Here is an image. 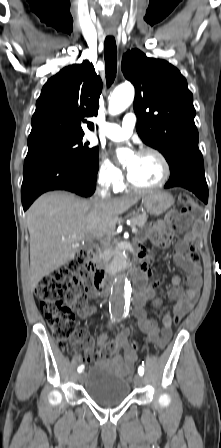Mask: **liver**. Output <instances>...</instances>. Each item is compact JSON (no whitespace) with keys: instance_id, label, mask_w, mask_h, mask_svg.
Masks as SVG:
<instances>
[{"instance_id":"6515ba94","label":"liver","mask_w":221,"mask_h":448,"mask_svg":"<svg viewBox=\"0 0 221 448\" xmlns=\"http://www.w3.org/2000/svg\"><path fill=\"white\" fill-rule=\"evenodd\" d=\"M143 193L116 199H80L55 191L41 195L26 212L30 234V284L75 258L85 240H103L115 230L118 216Z\"/></svg>"}]
</instances>
